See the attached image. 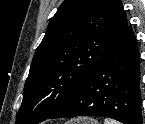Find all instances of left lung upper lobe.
<instances>
[{"mask_svg":"<svg viewBox=\"0 0 145 124\" xmlns=\"http://www.w3.org/2000/svg\"><path fill=\"white\" fill-rule=\"evenodd\" d=\"M128 28L120 0H65L34 54L16 123L38 124L65 105Z\"/></svg>","mask_w":145,"mask_h":124,"instance_id":"1","label":"left lung upper lobe"}]
</instances>
